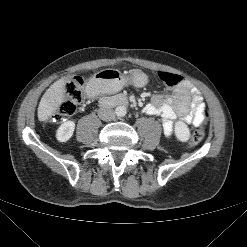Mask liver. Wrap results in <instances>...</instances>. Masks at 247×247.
<instances>
[{"mask_svg":"<svg viewBox=\"0 0 247 247\" xmlns=\"http://www.w3.org/2000/svg\"><path fill=\"white\" fill-rule=\"evenodd\" d=\"M66 80L64 78L54 82L42 96L38 106L39 121L48 120L59 109L64 101Z\"/></svg>","mask_w":247,"mask_h":247,"instance_id":"obj_1","label":"liver"}]
</instances>
